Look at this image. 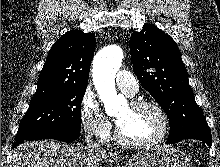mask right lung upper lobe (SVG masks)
Returning a JSON list of instances; mask_svg holds the SVG:
<instances>
[{"label":"right lung upper lobe","mask_w":220,"mask_h":167,"mask_svg":"<svg viewBox=\"0 0 220 167\" xmlns=\"http://www.w3.org/2000/svg\"><path fill=\"white\" fill-rule=\"evenodd\" d=\"M95 51V35L70 30L51 47L40 73L32 99L64 88L87 87L91 60Z\"/></svg>","instance_id":"cb5924a9"}]
</instances>
